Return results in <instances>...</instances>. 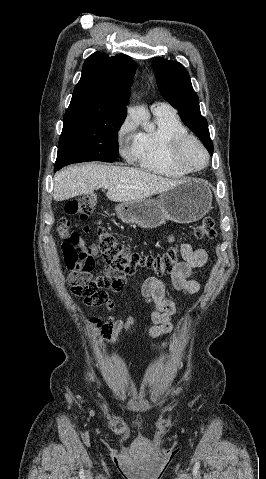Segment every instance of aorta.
<instances>
[{
	"label": "aorta",
	"instance_id": "1",
	"mask_svg": "<svg viewBox=\"0 0 266 479\" xmlns=\"http://www.w3.org/2000/svg\"><path fill=\"white\" fill-rule=\"evenodd\" d=\"M129 114L135 121H140L146 124L148 119L147 115L139 113L135 109H129Z\"/></svg>",
	"mask_w": 266,
	"mask_h": 479
}]
</instances>
